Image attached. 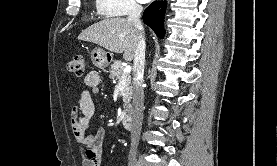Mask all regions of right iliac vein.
Listing matches in <instances>:
<instances>
[{"instance_id": "63e3f726", "label": "right iliac vein", "mask_w": 277, "mask_h": 166, "mask_svg": "<svg viewBox=\"0 0 277 166\" xmlns=\"http://www.w3.org/2000/svg\"><path fill=\"white\" fill-rule=\"evenodd\" d=\"M129 166H138V163H136V162H130Z\"/></svg>"}]
</instances>
